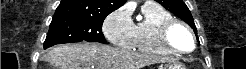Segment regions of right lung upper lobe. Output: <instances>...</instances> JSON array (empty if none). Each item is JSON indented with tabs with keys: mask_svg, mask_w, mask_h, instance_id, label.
<instances>
[{
	"mask_svg": "<svg viewBox=\"0 0 246 69\" xmlns=\"http://www.w3.org/2000/svg\"><path fill=\"white\" fill-rule=\"evenodd\" d=\"M126 0H62L53 19L58 18H106L108 14L125 4Z\"/></svg>",
	"mask_w": 246,
	"mask_h": 69,
	"instance_id": "right-lung-upper-lobe-1",
	"label": "right lung upper lobe"
}]
</instances>
